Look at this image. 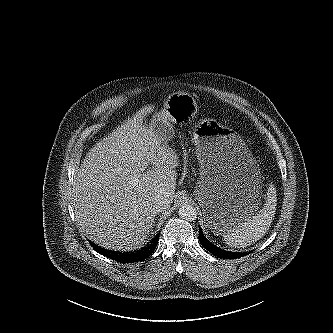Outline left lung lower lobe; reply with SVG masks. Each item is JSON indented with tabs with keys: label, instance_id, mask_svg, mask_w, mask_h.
<instances>
[{
	"label": "left lung lower lobe",
	"instance_id": "left-lung-lower-lobe-1",
	"mask_svg": "<svg viewBox=\"0 0 333 333\" xmlns=\"http://www.w3.org/2000/svg\"><path fill=\"white\" fill-rule=\"evenodd\" d=\"M199 241L205 249H207L209 252H211L215 256L223 258V259H237V258L246 256L250 253V252H247V253L246 252H231V251L223 250L220 247H217L216 245L211 243L205 237L200 226H199Z\"/></svg>",
	"mask_w": 333,
	"mask_h": 333
}]
</instances>
